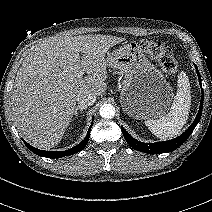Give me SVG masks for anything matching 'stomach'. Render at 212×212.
<instances>
[{"label": "stomach", "instance_id": "1", "mask_svg": "<svg viewBox=\"0 0 212 212\" xmlns=\"http://www.w3.org/2000/svg\"><path fill=\"white\" fill-rule=\"evenodd\" d=\"M106 63L124 75L120 102L128 116L138 120L154 119L169 110L173 88L137 42H126L108 53Z\"/></svg>", "mask_w": 212, "mask_h": 212}]
</instances>
